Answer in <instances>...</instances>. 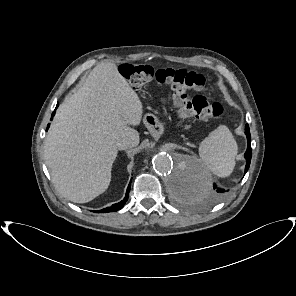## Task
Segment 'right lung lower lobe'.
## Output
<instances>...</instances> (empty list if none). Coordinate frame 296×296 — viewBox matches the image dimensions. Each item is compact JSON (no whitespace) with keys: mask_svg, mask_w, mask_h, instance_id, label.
I'll return each mask as SVG.
<instances>
[{"mask_svg":"<svg viewBox=\"0 0 296 296\" xmlns=\"http://www.w3.org/2000/svg\"><path fill=\"white\" fill-rule=\"evenodd\" d=\"M57 106H58V104H57ZM54 115H55V112L52 113V116H54ZM49 125L50 124H48L47 128H49ZM130 186H131V183L129 184V186L127 188V193L125 195V198L122 201H120L119 203L113 204L111 207H107V208H104L100 211H94V212L107 213V212H114V211L120 210L124 206V204L126 203L128 197H129Z\"/></svg>","mask_w":296,"mask_h":296,"instance_id":"right-lung-lower-lobe-1","label":"right lung lower lobe"}]
</instances>
